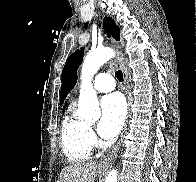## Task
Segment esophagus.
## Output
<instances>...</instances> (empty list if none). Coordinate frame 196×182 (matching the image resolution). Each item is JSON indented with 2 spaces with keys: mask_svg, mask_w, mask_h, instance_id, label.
<instances>
[{
  "mask_svg": "<svg viewBox=\"0 0 196 182\" xmlns=\"http://www.w3.org/2000/svg\"><path fill=\"white\" fill-rule=\"evenodd\" d=\"M118 63H119V66H120V68H121V70L123 72V76H124V90H125L127 103H128V115H127L124 127L122 129L121 137H120L119 141L111 149L109 154L100 161V163H99L100 166L109 165L113 161V159L116 157V155H117V153H118V151L120 149L122 137H123V135H124V133L126 132V129H127L128 117H129V113H130V96H129L128 76H127V72H126L125 66H124V64L122 63V61H121V59L119 57H118Z\"/></svg>",
  "mask_w": 196,
  "mask_h": 182,
  "instance_id": "34e87169",
  "label": "esophagus"
}]
</instances>
